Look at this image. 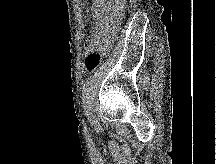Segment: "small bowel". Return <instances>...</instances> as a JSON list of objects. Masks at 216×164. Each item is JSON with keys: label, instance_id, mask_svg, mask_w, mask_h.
Masks as SVG:
<instances>
[{"label": "small bowel", "instance_id": "small-bowel-1", "mask_svg": "<svg viewBox=\"0 0 216 164\" xmlns=\"http://www.w3.org/2000/svg\"><path fill=\"white\" fill-rule=\"evenodd\" d=\"M94 26L86 51L103 52L109 48L114 38L118 20L120 19L124 0H90Z\"/></svg>", "mask_w": 216, "mask_h": 164}]
</instances>
